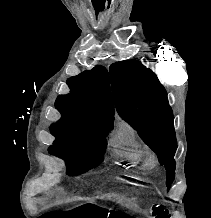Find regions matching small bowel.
I'll use <instances>...</instances> for the list:
<instances>
[{"label":"small bowel","mask_w":211,"mask_h":218,"mask_svg":"<svg viewBox=\"0 0 211 218\" xmlns=\"http://www.w3.org/2000/svg\"><path fill=\"white\" fill-rule=\"evenodd\" d=\"M62 193H63L62 189L55 188L46 192V196H57V195H61ZM41 200H44V198H42Z\"/></svg>","instance_id":"c3829d8e"}]
</instances>
